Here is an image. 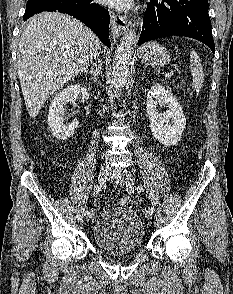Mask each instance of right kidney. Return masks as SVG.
Returning a JSON list of instances; mask_svg holds the SVG:
<instances>
[{"label":"right kidney","instance_id":"1","mask_svg":"<svg viewBox=\"0 0 233 294\" xmlns=\"http://www.w3.org/2000/svg\"><path fill=\"white\" fill-rule=\"evenodd\" d=\"M82 95V102L89 99V93L85 86L73 84L67 86L61 92L55 95L48 112V124L53 132V135L62 141L67 140L78 127L79 121L73 120L69 124H64V106L67 103L76 101L78 95Z\"/></svg>","mask_w":233,"mask_h":294}]
</instances>
